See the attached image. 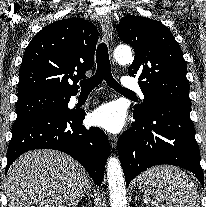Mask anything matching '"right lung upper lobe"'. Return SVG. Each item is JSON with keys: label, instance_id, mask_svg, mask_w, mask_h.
Listing matches in <instances>:
<instances>
[{"label": "right lung upper lobe", "instance_id": "cb5924a9", "mask_svg": "<svg viewBox=\"0 0 206 207\" xmlns=\"http://www.w3.org/2000/svg\"><path fill=\"white\" fill-rule=\"evenodd\" d=\"M97 41V28L84 19H64L46 26L23 55L18 98L43 93L75 95L77 81L93 66Z\"/></svg>", "mask_w": 206, "mask_h": 207}]
</instances>
